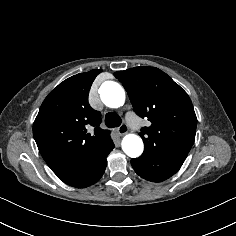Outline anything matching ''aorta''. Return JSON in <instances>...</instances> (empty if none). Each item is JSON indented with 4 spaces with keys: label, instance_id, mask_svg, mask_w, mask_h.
Listing matches in <instances>:
<instances>
[{
    "label": "aorta",
    "instance_id": "obj_1",
    "mask_svg": "<svg viewBox=\"0 0 236 236\" xmlns=\"http://www.w3.org/2000/svg\"><path fill=\"white\" fill-rule=\"evenodd\" d=\"M102 102L110 108H118L124 104L125 92L120 84L114 81H105L100 87ZM122 150L131 157H139L144 150L142 139L136 134H127L122 140Z\"/></svg>",
    "mask_w": 236,
    "mask_h": 236
}]
</instances>
